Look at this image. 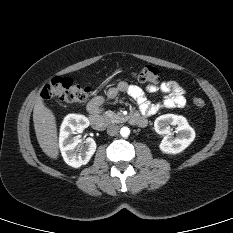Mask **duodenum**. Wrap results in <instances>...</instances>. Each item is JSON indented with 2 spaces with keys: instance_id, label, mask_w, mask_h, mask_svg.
Segmentation results:
<instances>
[{
  "instance_id": "1",
  "label": "duodenum",
  "mask_w": 233,
  "mask_h": 233,
  "mask_svg": "<svg viewBox=\"0 0 233 233\" xmlns=\"http://www.w3.org/2000/svg\"><path fill=\"white\" fill-rule=\"evenodd\" d=\"M89 121L93 128L97 130H103L108 125V119L97 112H89L88 114ZM131 122L140 126H144L147 123L145 117L135 114L131 117Z\"/></svg>"
}]
</instances>
